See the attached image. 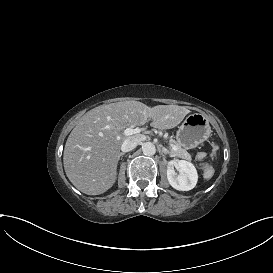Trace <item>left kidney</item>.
Returning <instances> with one entry per match:
<instances>
[{
  "label": "left kidney",
  "mask_w": 273,
  "mask_h": 273,
  "mask_svg": "<svg viewBox=\"0 0 273 273\" xmlns=\"http://www.w3.org/2000/svg\"><path fill=\"white\" fill-rule=\"evenodd\" d=\"M167 178L173 188L189 191L197 185L199 176L193 163L179 160L177 170L172 167L167 170Z\"/></svg>",
  "instance_id": "obj_1"
}]
</instances>
